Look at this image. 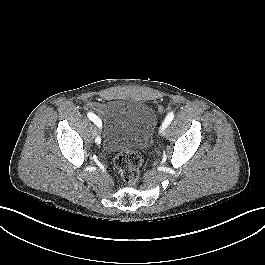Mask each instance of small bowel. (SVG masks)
Instances as JSON below:
<instances>
[{
	"mask_svg": "<svg viewBox=\"0 0 265 265\" xmlns=\"http://www.w3.org/2000/svg\"><path fill=\"white\" fill-rule=\"evenodd\" d=\"M92 108L96 109V110H102L104 108V106L102 104H99L97 102H91L89 104Z\"/></svg>",
	"mask_w": 265,
	"mask_h": 265,
	"instance_id": "obj_1",
	"label": "small bowel"
}]
</instances>
